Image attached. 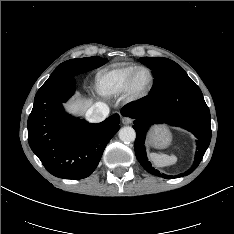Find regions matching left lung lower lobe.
<instances>
[{"instance_id":"left-lung-lower-lobe-1","label":"left lung lower lobe","mask_w":234,"mask_h":234,"mask_svg":"<svg viewBox=\"0 0 234 234\" xmlns=\"http://www.w3.org/2000/svg\"><path fill=\"white\" fill-rule=\"evenodd\" d=\"M121 113L135 119L133 126L136 130L135 154L142 167L153 175L168 179L189 175L198 167L210 144V112L201 90L189 77L151 92L139 102L124 108ZM154 123L183 127L198 139L195 161L185 173L168 176L151 166L146 156L144 142L148 128Z\"/></svg>"}]
</instances>
